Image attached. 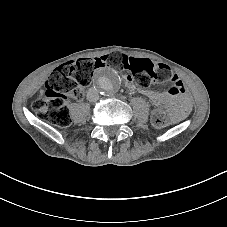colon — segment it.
<instances>
[{"instance_id": "colon-1", "label": "colon", "mask_w": 227, "mask_h": 227, "mask_svg": "<svg viewBox=\"0 0 227 227\" xmlns=\"http://www.w3.org/2000/svg\"><path fill=\"white\" fill-rule=\"evenodd\" d=\"M110 66L134 78L142 88L152 84L171 82L167 90L169 97H175L184 92L180 78L165 64L144 58L128 57L119 53L103 55L99 58H83L60 65L54 70L46 82L44 96L34 104L39 117L59 127H68L71 116L67 98L80 99L82 89L91 82L97 68ZM155 128L168 125L169 117L162 111H155L151 118Z\"/></svg>"}]
</instances>
